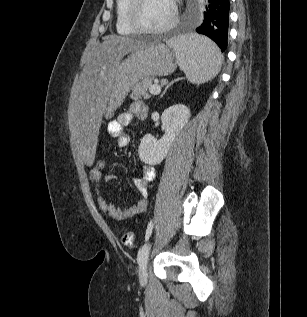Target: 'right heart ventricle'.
Wrapping results in <instances>:
<instances>
[{
  "mask_svg": "<svg viewBox=\"0 0 307 317\" xmlns=\"http://www.w3.org/2000/svg\"><path fill=\"white\" fill-rule=\"evenodd\" d=\"M129 4V0H116L115 3V27L117 33L120 35H133L137 33L135 30L131 28L127 21V6Z\"/></svg>",
  "mask_w": 307,
  "mask_h": 317,
  "instance_id": "obj_1",
  "label": "right heart ventricle"
}]
</instances>
